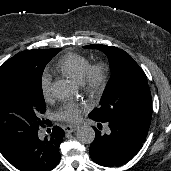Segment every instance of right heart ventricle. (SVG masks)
I'll return each mask as SVG.
<instances>
[{
  "label": "right heart ventricle",
  "mask_w": 171,
  "mask_h": 171,
  "mask_svg": "<svg viewBox=\"0 0 171 171\" xmlns=\"http://www.w3.org/2000/svg\"><path fill=\"white\" fill-rule=\"evenodd\" d=\"M89 60L77 53H68L58 62V69L74 80L81 81L90 66Z\"/></svg>",
  "instance_id": "e07e8e85"
}]
</instances>
